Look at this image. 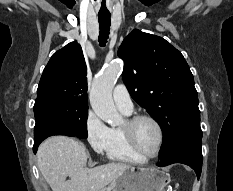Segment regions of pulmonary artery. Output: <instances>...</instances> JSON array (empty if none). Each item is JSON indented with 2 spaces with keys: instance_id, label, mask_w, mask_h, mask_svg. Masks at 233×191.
<instances>
[{
  "instance_id": "e3ab8cb5",
  "label": "pulmonary artery",
  "mask_w": 233,
  "mask_h": 191,
  "mask_svg": "<svg viewBox=\"0 0 233 191\" xmlns=\"http://www.w3.org/2000/svg\"><path fill=\"white\" fill-rule=\"evenodd\" d=\"M113 100L116 107L123 113L130 114L133 110L129 92L124 84H118L113 91Z\"/></svg>"
}]
</instances>
